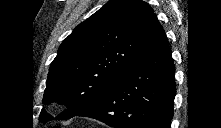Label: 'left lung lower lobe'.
I'll return each mask as SVG.
<instances>
[{
    "label": "left lung lower lobe",
    "instance_id": "0a47b994",
    "mask_svg": "<svg viewBox=\"0 0 221 128\" xmlns=\"http://www.w3.org/2000/svg\"><path fill=\"white\" fill-rule=\"evenodd\" d=\"M175 68L165 32L107 94L76 116L114 128H170Z\"/></svg>",
    "mask_w": 221,
    "mask_h": 128
}]
</instances>
